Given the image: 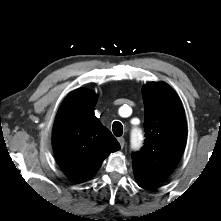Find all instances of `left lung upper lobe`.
I'll return each mask as SVG.
<instances>
[{
  "instance_id": "1",
  "label": "left lung upper lobe",
  "mask_w": 221,
  "mask_h": 221,
  "mask_svg": "<svg viewBox=\"0 0 221 221\" xmlns=\"http://www.w3.org/2000/svg\"><path fill=\"white\" fill-rule=\"evenodd\" d=\"M145 144L132 154L133 168L157 182L177 166L186 144L187 126L182 103L166 83L143 87Z\"/></svg>"
}]
</instances>
